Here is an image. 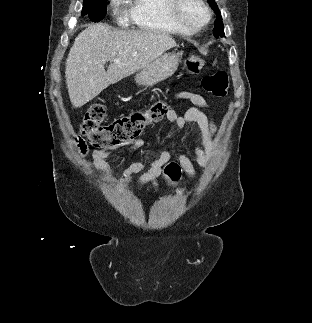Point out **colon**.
<instances>
[{"instance_id":"colon-1","label":"colon","mask_w":312,"mask_h":323,"mask_svg":"<svg viewBox=\"0 0 312 323\" xmlns=\"http://www.w3.org/2000/svg\"><path fill=\"white\" fill-rule=\"evenodd\" d=\"M205 65V60L199 57H191L187 62L188 73L195 75ZM229 80L225 70L217 69L205 75L202 79L203 89L217 98H225L228 95ZM106 107L102 104L92 105L81 122V134L94 148L115 146L122 142L138 138L146 128L157 123L167 113V105L162 100L156 101L149 109L137 111L130 116L114 119L106 122ZM78 148L83 146L81 141L76 143ZM79 158L84 156L82 151L77 153ZM183 167L177 165L175 160H170L164 166L167 182H177L178 172Z\"/></svg>"}]
</instances>
